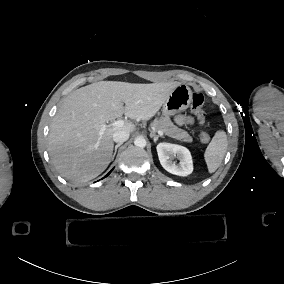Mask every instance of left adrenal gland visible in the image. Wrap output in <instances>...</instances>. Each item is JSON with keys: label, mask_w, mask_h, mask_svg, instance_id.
<instances>
[{"label": "left adrenal gland", "mask_w": 284, "mask_h": 284, "mask_svg": "<svg viewBox=\"0 0 284 284\" xmlns=\"http://www.w3.org/2000/svg\"><path fill=\"white\" fill-rule=\"evenodd\" d=\"M150 137H151V138H154V142H156L159 137L164 138V136L157 135V134H155V132H153V131H151Z\"/></svg>", "instance_id": "left-adrenal-gland-1"}]
</instances>
